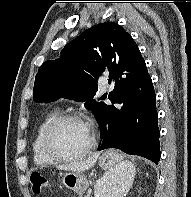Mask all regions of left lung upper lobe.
I'll list each match as a JSON object with an SVG mask.
<instances>
[{
    "instance_id": "obj_1",
    "label": "left lung upper lobe",
    "mask_w": 191,
    "mask_h": 197,
    "mask_svg": "<svg viewBox=\"0 0 191 197\" xmlns=\"http://www.w3.org/2000/svg\"><path fill=\"white\" fill-rule=\"evenodd\" d=\"M57 60L44 62L38 70L33 89L35 102H52L67 98L84 102L95 113L104 103L92 98L98 77L109 71V79L146 67L131 35L114 22L99 23L76 37L61 51Z\"/></svg>"
}]
</instances>
